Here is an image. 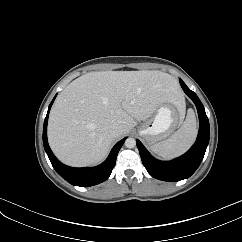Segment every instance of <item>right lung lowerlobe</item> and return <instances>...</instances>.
<instances>
[{"mask_svg":"<svg viewBox=\"0 0 242 242\" xmlns=\"http://www.w3.org/2000/svg\"><path fill=\"white\" fill-rule=\"evenodd\" d=\"M54 99L49 105L43 126V145L52 166L61 177L75 186L88 187L105 181L110 176L112 169L115 166L118 152L126 138L119 141L111 150L108 158L102 164L96 167L72 168L62 164L52 153L47 141L48 115Z\"/></svg>","mask_w":242,"mask_h":242,"instance_id":"98d812e1","label":"right lung lower lobe"}]
</instances>
